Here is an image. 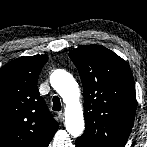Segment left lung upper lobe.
Here are the masks:
<instances>
[{
    "mask_svg": "<svg viewBox=\"0 0 147 147\" xmlns=\"http://www.w3.org/2000/svg\"><path fill=\"white\" fill-rule=\"evenodd\" d=\"M81 76L86 128L84 147H124L136 113L135 84L127 63L100 45L69 52Z\"/></svg>",
    "mask_w": 147,
    "mask_h": 147,
    "instance_id": "obj_1",
    "label": "left lung upper lobe"
}]
</instances>
